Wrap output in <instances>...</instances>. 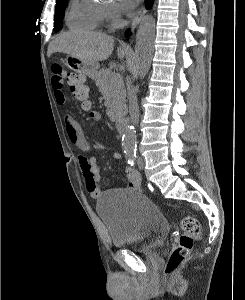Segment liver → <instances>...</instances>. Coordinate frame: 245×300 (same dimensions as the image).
I'll list each match as a JSON object with an SVG mask.
<instances>
[{
	"label": "liver",
	"instance_id": "1",
	"mask_svg": "<svg viewBox=\"0 0 245 300\" xmlns=\"http://www.w3.org/2000/svg\"><path fill=\"white\" fill-rule=\"evenodd\" d=\"M114 38L98 32H67L59 35L48 48V57L62 52L81 60L98 63L112 53Z\"/></svg>",
	"mask_w": 245,
	"mask_h": 300
}]
</instances>
